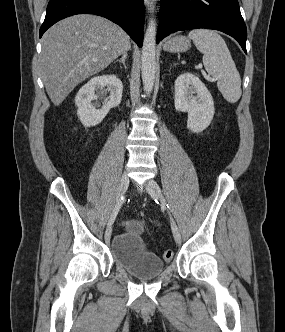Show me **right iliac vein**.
<instances>
[{
  "mask_svg": "<svg viewBox=\"0 0 285 332\" xmlns=\"http://www.w3.org/2000/svg\"><path fill=\"white\" fill-rule=\"evenodd\" d=\"M129 186V178L126 173H124L120 179L118 191H117V203L119 202L120 198L126 193ZM112 233V228L109 226L105 231V241L108 242L110 240Z\"/></svg>",
  "mask_w": 285,
  "mask_h": 332,
  "instance_id": "1",
  "label": "right iliac vein"
}]
</instances>
